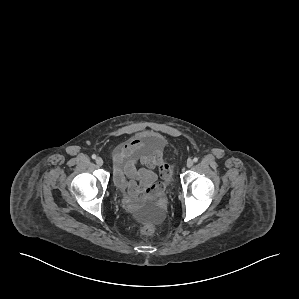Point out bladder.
<instances>
[{"instance_id": "31cf9c89", "label": "bladder", "mask_w": 299, "mask_h": 299, "mask_svg": "<svg viewBox=\"0 0 299 299\" xmlns=\"http://www.w3.org/2000/svg\"><path fill=\"white\" fill-rule=\"evenodd\" d=\"M142 143L145 148L153 146L155 147L161 144V139L157 136L151 135L149 137L142 138Z\"/></svg>"}]
</instances>
